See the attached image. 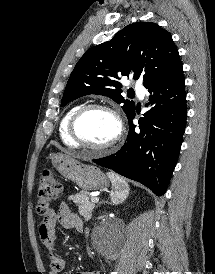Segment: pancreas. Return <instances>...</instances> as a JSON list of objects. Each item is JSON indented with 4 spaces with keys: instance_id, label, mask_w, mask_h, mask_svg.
<instances>
[{
    "instance_id": "pancreas-1",
    "label": "pancreas",
    "mask_w": 215,
    "mask_h": 274,
    "mask_svg": "<svg viewBox=\"0 0 215 274\" xmlns=\"http://www.w3.org/2000/svg\"><path fill=\"white\" fill-rule=\"evenodd\" d=\"M89 194L86 191H81L75 195L69 196V200L73 201L79 208V213L86 219H90L92 216L95 204L89 201Z\"/></svg>"
}]
</instances>
